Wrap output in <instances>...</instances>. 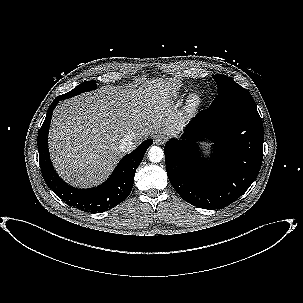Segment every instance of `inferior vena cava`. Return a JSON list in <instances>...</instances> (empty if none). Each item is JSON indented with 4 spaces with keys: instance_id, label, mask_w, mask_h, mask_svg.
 <instances>
[{
    "instance_id": "1",
    "label": "inferior vena cava",
    "mask_w": 303,
    "mask_h": 303,
    "mask_svg": "<svg viewBox=\"0 0 303 303\" xmlns=\"http://www.w3.org/2000/svg\"><path fill=\"white\" fill-rule=\"evenodd\" d=\"M134 138V134H127L120 142V150L124 153L131 152L135 148Z\"/></svg>"
}]
</instances>
